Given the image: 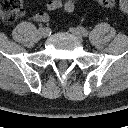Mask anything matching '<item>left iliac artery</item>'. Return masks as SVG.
Segmentation results:
<instances>
[{"instance_id":"1","label":"left iliac artery","mask_w":128,"mask_h":128,"mask_svg":"<svg viewBox=\"0 0 128 128\" xmlns=\"http://www.w3.org/2000/svg\"><path fill=\"white\" fill-rule=\"evenodd\" d=\"M78 30L81 32V34L84 36V37H87L88 36V31L83 28V27H78Z\"/></svg>"}]
</instances>
